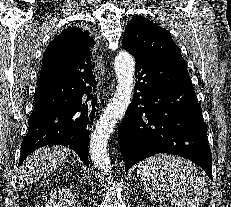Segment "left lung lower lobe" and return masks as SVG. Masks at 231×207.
<instances>
[{
  "label": "left lung lower lobe",
  "mask_w": 231,
  "mask_h": 207,
  "mask_svg": "<svg viewBox=\"0 0 231 207\" xmlns=\"http://www.w3.org/2000/svg\"><path fill=\"white\" fill-rule=\"evenodd\" d=\"M132 103L118 130L125 169L157 153L187 158L212 179L211 150L186 63L137 56Z\"/></svg>",
  "instance_id": "left-lung-lower-lobe-1"
}]
</instances>
